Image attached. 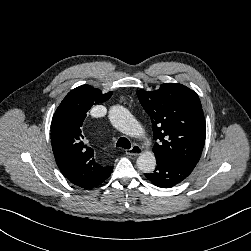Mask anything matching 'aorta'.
<instances>
[{
    "label": "aorta",
    "mask_w": 251,
    "mask_h": 251,
    "mask_svg": "<svg viewBox=\"0 0 251 251\" xmlns=\"http://www.w3.org/2000/svg\"><path fill=\"white\" fill-rule=\"evenodd\" d=\"M111 124L122 133L138 137L144 134V130L139 122L134 118L128 109L117 105L111 107L109 111ZM137 167L144 173H151L156 167V158L153 152L147 151L137 158Z\"/></svg>",
    "instance_id": "aorta-1"
}]
</instances>
